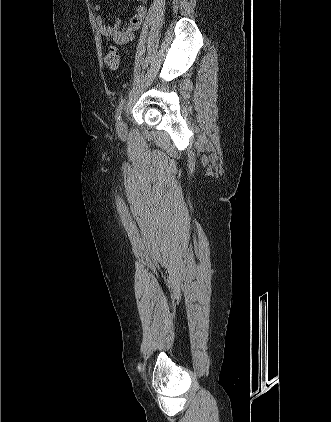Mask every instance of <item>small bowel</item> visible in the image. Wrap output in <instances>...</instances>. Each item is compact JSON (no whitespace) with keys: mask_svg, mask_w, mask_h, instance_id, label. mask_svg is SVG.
Segmentation results:
<instances>
[{"mask_svg":"<svg viewBox=\"0 0 331 422\" xmlns=\"http://www.w3.org/2000/svg\"><path fill=\"white\" fill-rule=\"evenodd\" d=\"M147 3L148 0H139L138 6L128 17L117 19L112 25H107L103 16L98 14L95 19L98 32L108 41L112 40L119 45L128 43L145 17ZM94 9L99 12L102 5L97 3L94 5Z\"/></svg>","mask_w":331,"mask_h":422,"instance_id":"c3829d8e","label":"small bowel"}]
</instances>
